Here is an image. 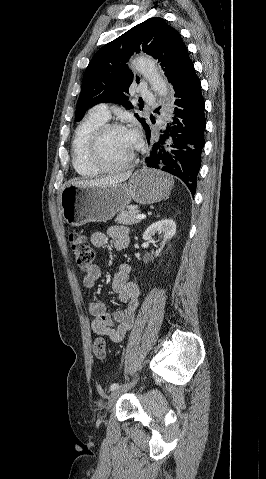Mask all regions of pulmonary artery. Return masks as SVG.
<instances>
[{"instance_id":"1","label":"pulmonary artery","mask_w":266,"mask_h":479,"mask_svg":"<svg viewBox=\"0 0 266 479\" xmlns=\"http://www.w3.org/2000/svg\"><path fill=\"white\" fill-rule=\"evenodd\" d=\"M140 95L143 99H152L154 98V95L152 92H150L148 89L145 88H140L139 89ZM92 112L96 113L97 115L108 119L110 117V111H109V106L106 103H100L96 105L93 109Z\"/></svg>"}]
</instances>
